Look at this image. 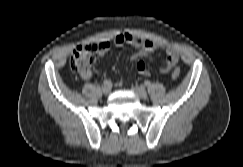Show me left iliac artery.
<instances>
[{
    "mask_svg": "<svg viewBox=\"0 0 243 167\" xmlns=\"http://www.w3.org/2000/svg\"><path fill=\"white\" fill-rule=\"evenodd\" d=\"M144 84L146 85V86H150V81L149 80H146V81H144Z\"/></svg>",
    "mask_w": 243,
    "mask_h": 167,
    "instance_id": "44dca946",
    "label": "left iliac artery"
}]
</instances>
